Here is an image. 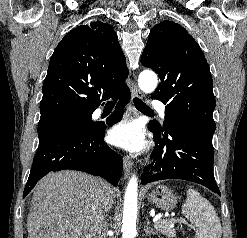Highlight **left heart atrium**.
Listing matches in <instances>:
<instances>
[{
	"label": "left heart atrium",
	"mask_w": 247,
	"mask_h": 238,
	"mask_svg": "<svg viewBox=\"0 0 247 238\" xmlns=\"http://www.w3.org/2000/svg\"><path fill=\"white\" fill-rule=\"evenodd\" d=\"M109 141L115 146L130 151H137L144 147L142 129L135 122L115 125L109 133Z\"/></svg>",
	"instance_id": "1"
}]
</instances>
